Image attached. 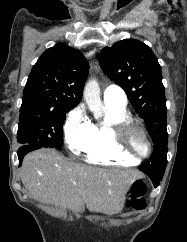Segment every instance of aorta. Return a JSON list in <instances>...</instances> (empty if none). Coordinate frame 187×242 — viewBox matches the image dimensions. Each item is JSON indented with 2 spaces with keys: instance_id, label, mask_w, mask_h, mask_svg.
Returning a JSON list of instances; mask_svg holds the SVG:
<instances>
[{
  "instance_id": "obj_1",
  "label": "aorta",
  "mask_w": 187,
  "mask_h": 242,
  "mask_svg": "<svg viewBox=\"0 0 187 242\" xmlns=\"http://www.w3.org/2000/svg\"><path fill=\"white\" fill-rule=\"evenodd\" d=\"M83 98L94 116L96 118L102 117L103 103L100 98V87L96 79H91L86 83Z\"/></svg>"
}]
</instances>
